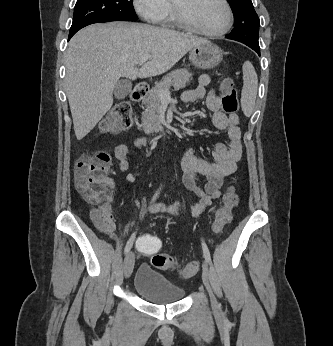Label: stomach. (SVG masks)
Here are the masks:
<instances>
[{
	"label": "stomach",
	"mask_w": 333,
	"mask_h": 346,
	"mask_svg": "<svg viewBox=\"0 0 333 346\" xmlns=\"http://www.w3.org/2000/svg\"><path fill=\"white\" fill-rule=\"evenodd\" d=\"M222 58V50L211 42L196 46L189 53L190 62L200 69H212L219 65Z\"/></svg>",
	"instance_id": "0dacf381"
}]
</instances>
